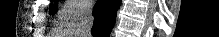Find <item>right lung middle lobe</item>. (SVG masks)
<instances>
[{
    "instance_id": "dd1d6c3e",
    "label": "right lung middle lobe",
    "mask_w": 219,
    "mask_h": 37,
    "mask_svg": "<svg viewBox=\"0 0 219 37\" xmlns=\"http://www.w3.org/2000/svg\"><path fill=\"white\" fill-rule=\"evenodd\" d=\"M57 12V4L56 2L51 1L50 8H49V14L54 15Z\"/></svg>"
}]
</instances>
